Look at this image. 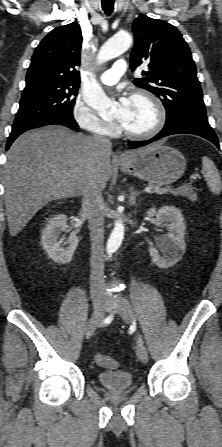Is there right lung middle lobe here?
<instances>
[{
  "mask_svg": "<svg viewBox=\"0 0 222 447\" xmlns=\"http://www.w3.org/2000/svg\"><path fill=\"white\" fill-rule=\"evenodd\" d=\"M79 86L42 85L25 88L12 129L57 116H73Z\"/></svg>",
  "mask_w": 222,
  "mask_h": 447,
  "instance_id": "obj_1",
  "label": "right lung middle lobe"
}]
</instances>
